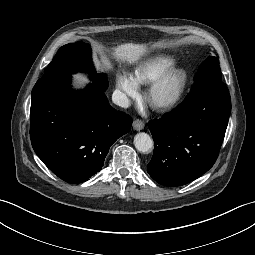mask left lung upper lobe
<instances>
[{"label": "left lung upper lobe", "mask_w": 255, "mask_h": 255, "mask_svg": "<svg viewBox=\"0 0 255 255\" xmlns=\"http://www.w3.org/2000/svg\"><path fill=\"white\" fill-rule=\"evenodd\" d=\"M205 74H215L221 77L219 60L217 57H210L205 60L199 67L198 74L195 79Z\"/></svg>", "instance_id": "left-lung-upper-lobe-1"}]
</instances>
